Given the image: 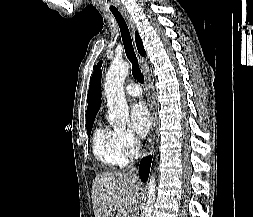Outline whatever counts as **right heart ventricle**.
Returning <instances> with one entry per match:
<instances>
[{
    "label": "right heart ventricle",
    "instance_id": "1",
    "mask_svg": "<svg viewBox=\"0 0 253 217\" xmlns=\"http://www.w3.org/2000/svg\"><path fill=\"white\" fill-rule=\"evenodd\" d=\"M115 131L108 127L98 126L93 134V154L106 168H123L128 164L127 155L120 147Z\"/></svg>",
    "mask_w": 253,
    "mask_h": 217
}]
</instances>
